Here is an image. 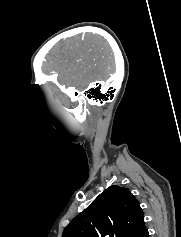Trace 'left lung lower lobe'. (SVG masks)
Instances as JSON below:
<instances>
[{"instance_id":"1","label":"left lung lower lobe","mask_w":181,"mask_h":237,"mask_svg":"<svg viewBox=\"0 0 181 237\" xmlns=\"http://www.w3.org/2000/svg\"><path fill=\"white\" fill-rule=\"evenodd\" d=\"M138 237H149L148 230H144Z\"/></svg>"}]
</instances>
